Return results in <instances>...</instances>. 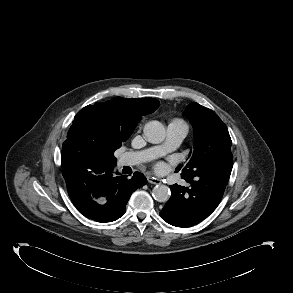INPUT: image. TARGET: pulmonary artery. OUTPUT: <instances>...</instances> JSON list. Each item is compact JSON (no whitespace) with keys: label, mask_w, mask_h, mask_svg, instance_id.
Segmentation results:
<instances>
[{"label":"pulmonary artery","mask_w":293,"mask_h":293,"mask_svg":"<svg viewBox=\"0 0 293 293\" xmlns=\"http://www.w3.org/2000/svg\"><path fill=\"white\" fill-rule=\"evenodd\" d=\"M188 132L185 125L170 123L167 128V139L159 146H154L143 151L126 153L120 159L121 165L133 166L160 157L175 150L184 140Z\"/></svg>","instance_id":"e3ab8cb5"}]
</instances>
